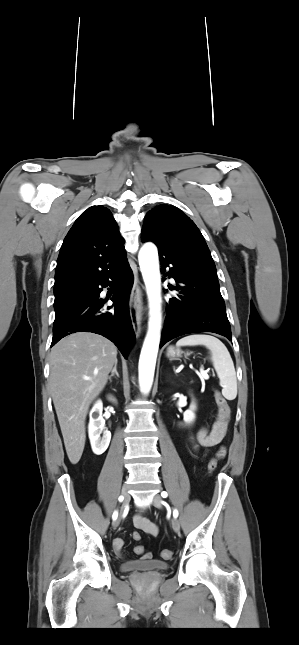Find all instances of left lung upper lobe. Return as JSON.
<instances>
[{
	"instance_id": "5c2ea615",
	"label": "left lung upper lobe",
	"mask_w": 299,
	"mask_h": 645,
	"mask_svg": "<svg viewBox=\"0 0 299 645\" xmlns=\"http://www.w3.org/2000/svg\"><path fill=\"white\" fill-rule=\"evenodd\" d=\"M141 239L158 247L177 244L212 259L209 248L194 222L180 209L167 204L152 208L145 216Z\"/></svg>"
}]
</instances>
